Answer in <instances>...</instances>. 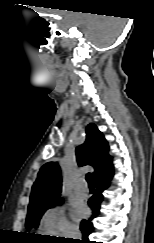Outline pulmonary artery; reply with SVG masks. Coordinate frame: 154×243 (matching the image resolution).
<instances>
[{
    "label": "pulmonary artery",
    "instance_id": "pulmonary-artery-1",
    "mask_svg": "<svg viewBox=\"0 0 154 243\" xmlns=\"http://www.w3.org/2000/svg\"><path fill=\"white\" fill-rule=\"evenodd\" d=\"M76 196L85 198L88 195V188L84 186L83 183L77 184L74 190Z\"/></svg>",
    "mask_w": 154,
    "mask_h": 243
}]
</instances>
